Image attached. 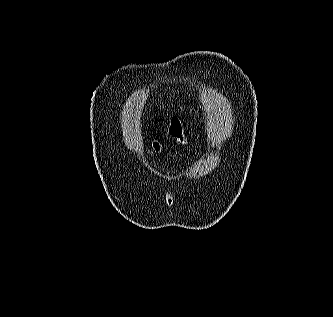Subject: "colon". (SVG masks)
<instances>
[{
    "instance_id": "obj_1",
    "label": "colon",
    "mask_w": 333,
    "mask_h": 317,
    "mask_svg": "<svg viewBox=\"0 0 333 317\" xmlns=\"http://www.w3.org/2000/svg\"><path fill=\"white\" fill-rule=\"evenodd\" d=\"M169 133L172 137L178 139V140H184L185 139V128L183 120L179 117H173L170 122L169 126ZM156 149H158V144H154Z\"/></svg>"
}]
</instances>
